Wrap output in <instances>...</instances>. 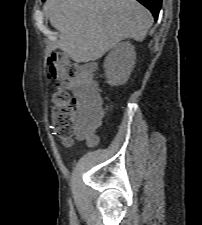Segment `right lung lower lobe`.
<instances>
[{
	"label": "right lung lower lobe",
	"instance_id": "right-lung-lower-lobe-1",
	"mask_svg": "<svg viewBox=\"0 0 202 225\" xmlns=\"http://www.w3.org/2000/svg\"><path fill=\"white\" fill-rule=\"evenodd\" d=\"M142 5H144L146 8H148L155 19L158 18L159 11L161 9V0H137Z\"/></svg>",
	"mask_w": 202,
	"mask_h": 225
}]
</instances>
